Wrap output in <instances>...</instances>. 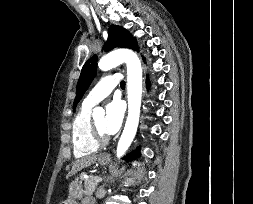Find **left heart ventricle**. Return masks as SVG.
Segmentation results:
<instances>
[{"instance_id":"b2bd125f","label":"left heart ventricle","mask_w":253,"mask_h":204,"mask_svg":"<svg viewBox=\"0 0 253 204\" xmlns=\"http://www.w3.org/2000/svg\"><path fill=\"white\" fill-rule=\"evenodd\" d=\"M96 126L98 127V129L103 132V133H106L105 132V129H104V126H105V118L102 116V117H98L94 120Z\"/></svg>"}]
</instances>
